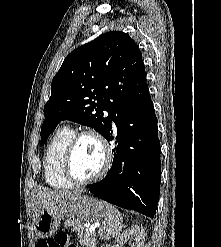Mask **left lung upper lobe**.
<instances>
[{
	"label": "left lung upper lobe",
	"instance_id": "1",
	"mask_svg": "<svg viewBox=\"0 0 221 247\" xmlns=\"http://www.w3.org/2000/svg\"><path fill=\"white\" fill-rule=\"evenodd\" d=\"M150 98L142 54L131 37L110 31L72 51L52 80L40 146L62 120L106 136L117 110Z\"/></svg>",
	"mask_w": 221,
	"mask_h": 247
}]
</instances>
